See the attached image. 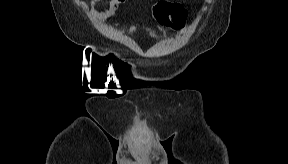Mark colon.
I'll use <instances>...</instances> for the list:
<instances>
[{"label":"colon","mask_w":288,"mask_h":164,"mask_svg":"<svg viewBox=\"0 0 288 164\" xmlns=\"http://www.w3.org/2000/svg\"><path fill=\"white\" fill-rule=\"evenodd\" d=\"M154 17L158 24L176 31L182 30L187 24L185 10L177 3L162 2L157 4Z\"/></svg>","instance_id":"colon-1"}]
</instances>
